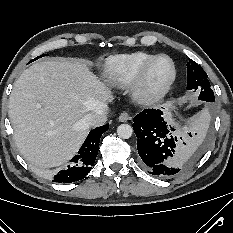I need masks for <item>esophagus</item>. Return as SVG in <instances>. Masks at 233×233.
Instances as JSON below:
<instances>
[{
	"mask_svg": "<svg viewBox=\"0 0 233 233\" xmlns=\"http://www.w3.org/2000/svg\"><path fill=\"white\" fill-rule=\"evenodd\" d=\"M118 119H119L120 122H126L127 120L130 119V117H129V114L124 111L119 115Z\"/></svg>",
	"mask_w": 233,
	"mask_h": 233,
	"instance_id": "esophagus-1",
	"label": "esophagus"
}]
</instances>
